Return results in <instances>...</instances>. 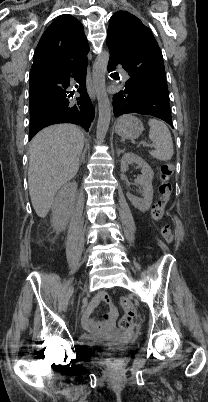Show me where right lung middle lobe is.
Returning a JSON list of instances; mask_svg holds the SVG:
<instances>
[{"label":"right lung middle lobe","mask_w":208,"mask_h":402,"mask_svg":"<svg viewBox=\"0 0 208 402\" xmlns=\"http://www.w3.org/2000/svg\"><path fill=\"white\" fill-rule=\"evenodd\" d=\"M35 96H42V95L37 94ZM38 103H39L38 99L35 98L30 99V111H32L33 109H38L39 108Z\"/></svg>","instance_id":"dd1d6c3e"}]
</instances>
